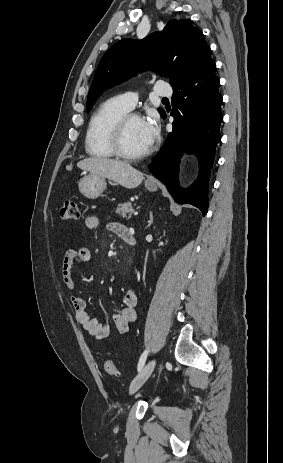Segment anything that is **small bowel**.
Masks as SVG:
<instances>
[{
  "label": "small bowel",
  "mask_w": 283,
  "mask_h": 463,
  "mask_svg": "<svg viewBox=\"0 0 283 463\" xmlns=\"http://www.w3.org/2000/svg\"><path fill=\"white\" fill-rule=\"evenodd\" d=\"M89 229H96L99 226V218L96 215H89L85 220ZM108 229L124 240L129 229L118 222H112ZM91 257V249L87 245L78 248L68 249L62 262V278L66 290L69 292L77 322L97 340L107 339L112 333V326L109 323L101 322L92 317L87 310L86 301L75 294L74 268L77 264L86 262ZM124 307L119 309L114 316V325L119 334L127 333L131 325L136 321L135 305L137 302L136 292L127 288L123 293Z\"/></svg>",
  "instance_id": "obj_1"
}]
</instances>
